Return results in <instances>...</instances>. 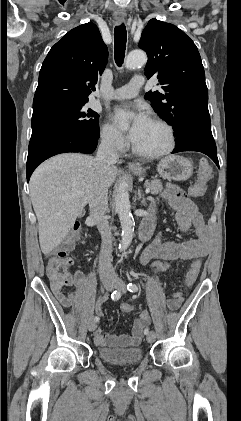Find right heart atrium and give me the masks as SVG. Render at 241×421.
I'll list each match as a JSON object with an SVG mask.
<instances>
[{"mask_svg": "<svg viewBox=\"0 0 241 421\" xmlns=\"http://www.w3.org/2000/svg\"><path fill=\"white\" fill-rule=\"evenodd\" d=\"M100 137L102 143L115 152H123L126 148V142L121 133L110 123H104Z\"/></svg>", "mask_w": 241, "mask_h": 421, "instance_id": "right-heart-atrium-1", "label": "right heart atrium"}]
</instances>
